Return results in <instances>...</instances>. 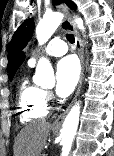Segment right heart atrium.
Wrapping results in <instances>:
<instances>
[{"label":"right heart atrium","mask_w":114,"mask_h":156,"mask_svg":"<svg viewBox=\"0 0 114 156\" xmlns=\"http://www.w3.org/2000/svg\"><path fill=\"white\" fill-rule=\"evenodd\" d=\"M45 95H46V99L48 100L52 98V95L49 92H46Z\"/></svg>","instance_id":"right-heart-atrium-1"}]
</instances>
